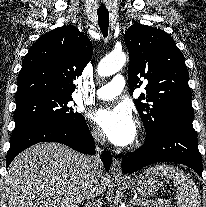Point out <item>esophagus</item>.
Segmentation results:
<instances>
[{"instance_id": "1", "label": "esophagus", "mask_w": 206, "mask_h": 207, "mask_svg": "<svg viewBox=\"0 0 206 207\" xmlns=\"http://www.w3.org/2000/svg\"><path fill=\"white\" fill-rule=\"evenodd\" d=\"M111 173L114 177H121L122 176V170H121V164L118 159H113L112 165H111Z\"/></svg>"}]
</instances>
